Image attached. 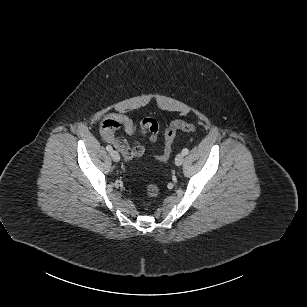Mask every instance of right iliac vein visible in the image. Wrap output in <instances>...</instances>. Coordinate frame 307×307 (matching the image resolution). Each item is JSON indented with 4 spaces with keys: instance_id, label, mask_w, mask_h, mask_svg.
Returning a JSON list of instances; mask_svg holds the SVG:
<instances>
[{
    "instance_id": "right-iliac-vein-1",
    "label": "right iliac vein",
    "mask_w": 307,
    "mask_h": 307,
    "mask_svg": "<svg viewBox=\"0 0 307 307\" xmlns=\"http://www.w3.org/2000/svg\"><path fill=\"white\" fill-rule=\"evenodd\" d=\"M110 156H111V158L113 159V161H115V162H118V161L120 160V155H119V153H118L117 151H115V150H112V151L110 152Z\"/></svg>"
}]
</instances>
